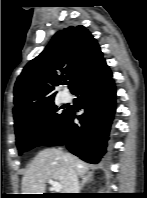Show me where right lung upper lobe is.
I'll return each mask as SVG.
<instances>
[{
  "label": "right lung upper lobe",
  "mask_w": 147,
  "mask_h": 198,
  "mask_svg": "<svg viewBox=\"0 0 147 198\" xmlns=\"http://www.w3.org/2000/svg\"><path fill=\"white\" fill-rule=\"evenodd\" d=\"M105 60L97 41L84 26L58 31L36 58L23 69L14 87V120L54 103L55 86L64 77L73 93Z\"/></svg>",
  "instance_id": "obj_1"
}]
</instances>
